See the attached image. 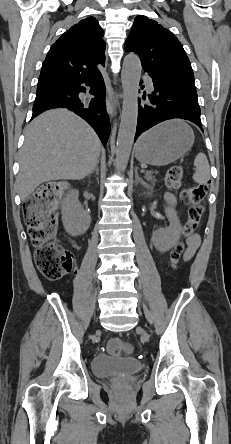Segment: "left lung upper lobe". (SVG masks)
I'll return each instance as SVG.
<instances>
[{
  "label": "left lung upper lobe",
  "mask_w": 231,
  "mask_h": 444,
  "mask_svg": "<svg viewBox=\"0 0 231 444\" xmlns=\"http://www.w3.org/2000/svg\"><path fill=\"white\" fill-rule=\"evenodd\" d=\"M125 50L138 54L145 72L159 76L170 86L196 92L193 70L183 46L156 21L137 16Z\"/></svg>",
  "instance_id": "obj_1"
}]
</instances>
